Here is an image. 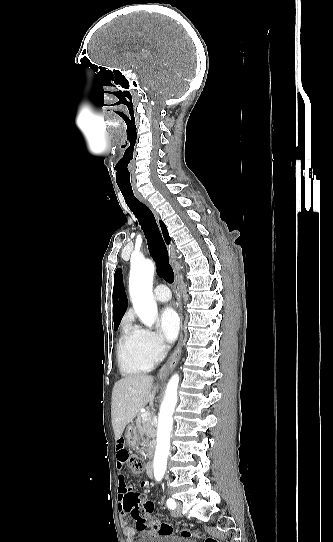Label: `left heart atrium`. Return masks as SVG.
<instances>
[{"instance_id":"left-heart-atrium-1","label":"left heart atrium","mask_w":333,"mask_h":542,"mask_svg":"<svg viewBox=\"0 0 333 542\" xmlns=\"http://www.w3.org/2000/svg\"><path fill=\"white\" fill-rule=\"evenodd\" d=\"M160 328L166 341L171 343L176 339L179 330V318L172 308L167 307L162 311Z\"/></svg>"}]
</instances>
